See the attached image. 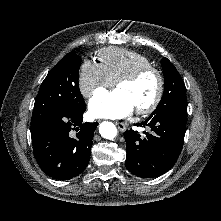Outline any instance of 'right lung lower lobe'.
<instances>
[{
	"instance_id": "1",
	"label": "right lung lower lobe",
	"mask_w": 221,
	"mask_h": 221,
	"mask_svg": "<svg viewBox=\"0 0 221 221\" xmlns=\"http://www.w3.org/2000/svg\"><path fill=\"white\" fill-rule=\"evenodd\" d=\"M85 110L52 114L31 130L34 156L48 176L68 180L87 167L98 123H82Z\"/></svg>"
}]
</instances>
